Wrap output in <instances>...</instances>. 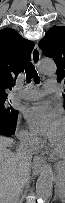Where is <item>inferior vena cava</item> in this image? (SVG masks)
Returning <instances> with one entry per match:
<instances>
[{
    "label": "inferior vena cava",
    "mask_w": 65,
    "mask_h": 203,
    "mask_svg": "<svg viewBox=\"0 0 65 203\" xmlns=\"http://www.w3.org/2000/svg\"><path fill=\"white\" fill-rule=\"evenodd\" d=\"M32 139V138H31ZM30 138H24L20 141V144L16 150V157L22 162V166L20 168L22 173H26L28 170V163L31 162L32 154L29 150ZM27 181L26 178H23L20 182L15 184L14 190L11 194L9 200L5 201L3 198L0 199V203H20L19 195L22 191L24 183Z\"/></svg>",
    "instance_id": "inferior-vena-cava-1"
}]
</instances>
